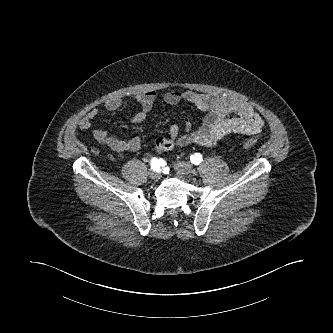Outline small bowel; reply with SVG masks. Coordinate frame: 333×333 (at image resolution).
Masks as SVG:
<instances>
[{"label": "small bowel", "mask_w": 333, "mask_h": 333, "mask_svg": "<svg viewBox=\"0 0 333 333\" xmlns=\"http://www.w3.org/2000/svg\"><path fill=\"white\" fill-rule=\"evenodd\" d=\"M155 98V93L152 91L136 96L135 99L140 105V110L132 117L133 123L141 124L146 120L154 106ZM164 100L172 105L186 101L203 111L205 117L202 124L195 130L192 129L191 121L185 119L183 122L184 133H180L179 125L173 124L170 127L168 137L156 138L154 146L158 152L171 150L175 146L210 147L232 135L255 136L261 133L264 125L260 114L248 102L236 97L203 94L193 90H170L164 94ZM121 105L122 100L119 98L108 99L104 102V108L108 111L117 110ZM97 115V109L90 110L79 122V127L83 130L90 129L92 121ZM93 136L119 155L137 151L142 144V139L139 136L122 140L108 136L103 129H95Z\"/></svg>", "instance_id": "c3829d8e"}]
</instances>
